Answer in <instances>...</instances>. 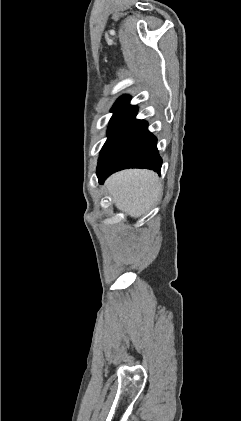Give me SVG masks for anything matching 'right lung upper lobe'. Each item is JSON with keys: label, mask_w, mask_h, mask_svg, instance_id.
Here are the masks:
<instances>
[{"label": "right lung upper lobe", "mask_w": 241, "mask_h": 421, "mask_svg": "<svg viewBox=\"0 0 241 421\" xmlns=\"http://www.w3.org/2000/svg\"><path fill=\"white\" fill-rule=\"evenodd\" d=\"M130 99H131L130 96H127V95L120 97L117 100V102L114 104V107L113 108L130 106L129 105Z\"/></svg>", "instance_id": "cb5924a9"}]
</instances>
